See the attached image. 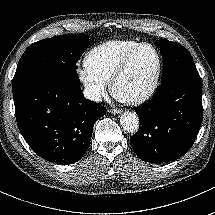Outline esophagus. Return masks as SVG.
Segmentation results:
<instances>
[{
  "label": "esophagus",
  "instance_id": "esophagus-1",
  "mask_svg": "<svg viewBox=\"0 0 215 215\" xmlns=\"http://www.w3.org/2000/svg\"><path fill=\"white\" fill-rule=\"evenodd\" d=\"M111 113H113V114H120L121 110L120 109H112Z\"/></svg>",
  "mask_w": 215,
  "mask_h": 215
}]
</instances>
